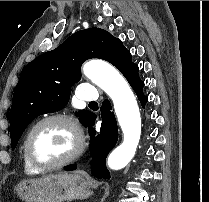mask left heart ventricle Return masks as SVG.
<instances>
[{
    "label": "left heart ventricle",
    "mask_w": 209,
    "mask_h": 202,
    "mask_svg": "<svg viewBox=\"0 0 209 202\" xmlns=\"http://www.w3.org/2000/svg\"><path fill=\"white\" fill-rule=\"evenodd\" d=\"M74 145L75 136L70 128L61 122L51 121L35 130L30 150L37 162L51 164L69 155Z\"/></svg>",
    "instance_id": "b2bd125f"
}]
</instances>
